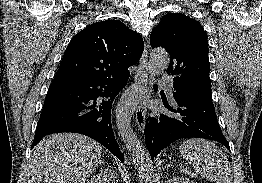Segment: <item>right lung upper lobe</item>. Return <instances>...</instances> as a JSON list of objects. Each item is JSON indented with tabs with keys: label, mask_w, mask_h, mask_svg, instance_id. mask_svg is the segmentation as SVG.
<instances>
[{
	"label": "right lung upper lobe",
	"mask_w": 262,
	"mask_h": 183,
	"mask_svg": "<svg viewBox=\"0 0 262 183\" xmlns=\"http://www.w3.org/2000/svg\"><path fill=\"white\" fill-rule=\"evenodd\" d=\"M143 49L142 37L122 22L93 23L70 41L51 84L122 75L138 62Z\"/></svg>",
	"instance_id": "1"
}]
</instances>
